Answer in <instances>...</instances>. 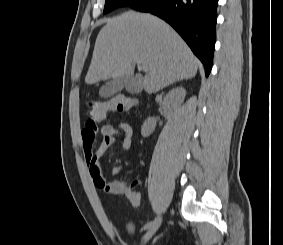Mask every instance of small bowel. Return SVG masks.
Here are the masks:
<instances>
[{"mask_svg": "<svg viewBox=\"0 0 283 245\" xmlns=\"http://www.w3.org/2000/svg\"><path fill=\"white\" fill-rule=\"evenodd\" d=\"M97 121L87 120L81 131L85 161L89 166L90 174L95 186L107 194L123 195L127 186L126 182L114 180L107 181L101 159L105 152L112 146H118L123 150L131 148L133 128L126 122H119L117 127L105 124L100 128ZM102 136L101 144L94 149L97 135ZM113 175L124 173L122 168H114Z\"/></svg>", "mask_w": 283, "mask_h": 245, "instance_id": "c3829d8e", "label": "small bowel"}]
</instances>
